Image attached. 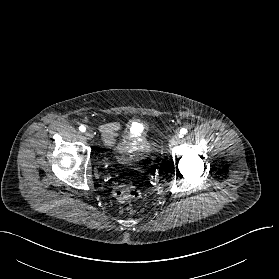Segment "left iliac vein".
I'll use <instances>...</instances> for the list:
<instances>
[{
    "mask_svg": "<svg viewBox=\"0 0 279 279\" xmlns=\"http://www.w3.org/2000/svg\"><path fill=\"white\" fill-rule=\"evenodd\" d=\"M181 136L179 134H175L172 139H171V144L172 145H177L180 141Z\"/></svg>",
    "mask_w": 279,
    "mask_h": 279,
    "instance_id": "1",
    "label": "left iliac vein"
}]
</instances>
